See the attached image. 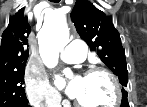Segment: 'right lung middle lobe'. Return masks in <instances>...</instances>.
I'll return each instance as SVG.
<instances>
[{
  "mask_svg": "<svg viewBox=\"0 0 147 107\" xmlns=\"http://www.w3.org/2000/svg\"><path fill=\"white\" fill-rule=\"evenodd\" d=\"M25 67L0 74V107H21L28 104L24 91Z\"/></svg>",
  "mask_w": 147,
  "mask_h": 107,
  "instance_id": "1",
  "label": "right lung middle lobe"
}]
</instances>
